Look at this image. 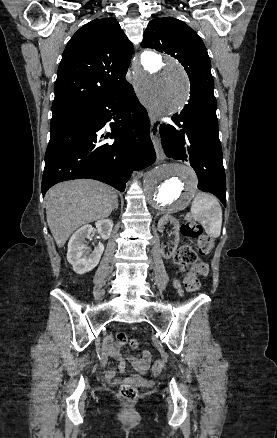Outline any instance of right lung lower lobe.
Wrapping results in <instances>:
<instances>
[{"label": "right lung lower lobe", "mask_w": 277, "mask_h": 438, "mask_svg": "<svg viewBox=\"0 0 277 438\" xmlns=\"http://www.w3.org/2000/svg\"><path fill=\"white\" fill-rule=\"evenodd\" d=\"M78 65L72 68L81 70ZM111 119L115 122L109 129L106 123ZM50 132L43 196L56 183L79 178L96 179L123 192L131 171L156 159L146 109L127 81L81 105Z\"/></svg>", "instance_id": "obj_1"}]
</instances>
